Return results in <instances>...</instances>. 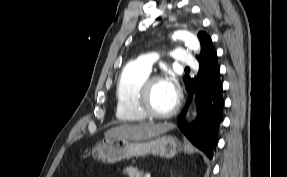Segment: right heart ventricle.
<instances>
[{"instance_id": "e07e8e85", "label": "right heart ventricle", "mask_w": 287, "mask_h": 177, "mask_svg": "<svg viewBox=\"0 0 287 177\" xmlns=\"http://www.w3.org/2000/svg\"><path fill=\"white\" fill-rule=\"evenodd\" d=\"M150 72L136 63L126 65L121 71L115 87V115L126 124L143 121L144 116L137 107V97Z\"/></svg>"}]
</instances>
